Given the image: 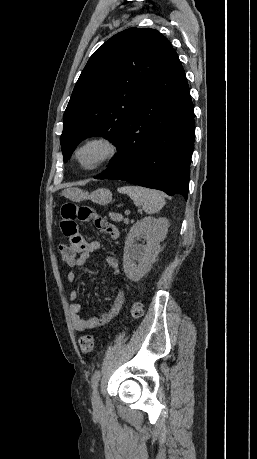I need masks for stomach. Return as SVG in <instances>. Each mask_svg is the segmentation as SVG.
Returning a JSON list of instances; mask_svg holds the SVG:
<instances>
[{"label":"stomach","instance_id":"obj_1","mask_svg":"<svg viewBox=\"0 0 257 459\" xmlns=\"http://www.w3.org/2000/svg\"><path fill=\"white\" fill-rule=\"evenodd\" d=\"M63 194L71 200H91L92 202L100 205H106L112 200V193L106 188H99L91 193H88L80 188H70L65 190Z\"/></svg>","mask_w":257,"mask_h":459}]
</instances>
